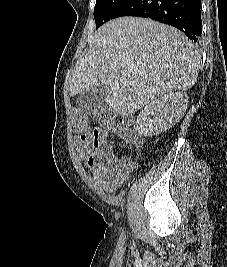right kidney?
<instances>
[{
    "instance_id": "ca27d5eb",
    "label": "right kidney",
    "mask_w": 227,
    "mask_h": 267,
    "mask_svg": "<svg viewBox=\"0 0 227 267\" xmlns=\"http://www.w3.org/2000/svg\"><path fill=\"white\" fill-rule=\"evenodd\" d=\"M188 104V96L184 92L165 94L146 105L137 117V131L140 135H158L183 116Z\"/></svg>"
}]
</instances>
